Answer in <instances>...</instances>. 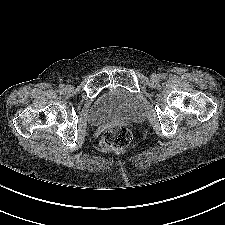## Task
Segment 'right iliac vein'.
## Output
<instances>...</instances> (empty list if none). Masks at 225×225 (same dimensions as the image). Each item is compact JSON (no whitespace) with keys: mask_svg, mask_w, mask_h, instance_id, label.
I'll return each instance as SVG.
<instances>
[{"mask_svg":"<svg viewBox=\"0 0 225 225\" xmlns=\"http://www.w3.org/2000/svg\"><path fill=\"white\" fill-rule=\"evenodd\" d=\"M66 89H67L68 91H71L73 88H72V86H67Z\"/></svg>","mask_w":225,"mask_h":225,"instance_id":"1","label":"right iliac vein"}]
</instances>
